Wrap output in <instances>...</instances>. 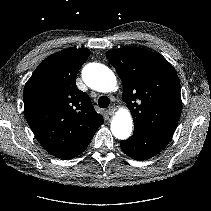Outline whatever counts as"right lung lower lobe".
<instances>
[{"mask_svg":"<svg viewBox=\"0 0 211 211\" xmlns=\"http://www.w3.org/2000/svg\"><path fill=\"white\" fill-rule=\"evenodd\" d=\"M88 144H89V142L82 145L79 149H77L76 151H74L73 153L68 155L67 157H64L63 159H71V158L78 156L80 153H82L87 148Z\"/></svg>","mask_w":211,"mask_h":211,"instance_id":"obj_1","label":"right lung lower lobe"}]
</instances>
